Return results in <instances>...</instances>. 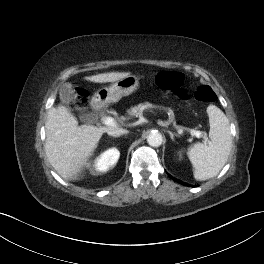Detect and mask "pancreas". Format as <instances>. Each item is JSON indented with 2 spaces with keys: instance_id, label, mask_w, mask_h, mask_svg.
I'll use <instances>...</instances> for the list:
<instances>
[{
  "instance_id": "obj_1",
  "label": "pancreas",
  "mask_w": 264,
  "mask_h": 264,
  "mask_svg": "<svg viewBox=\"0 0 264 264\" xmlns=\"http://www.w3.org/2000/svg\"><path fill=\"white\" fill-rule=\"evenodd\" d=\"M155 107H156V106L150 104L149 102H146V103H144V104H139V105H137V106H135V107H132V108H131L130 110H128L127 112H128V115H130V116H136V115L142 113L143 110H145V109H152V108H155ZM171 122H173V118H170V119H169V123H171ZM174 123H175V122H174Z\"/></svg>"
}]
</instances>
